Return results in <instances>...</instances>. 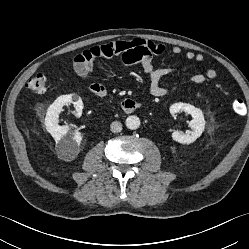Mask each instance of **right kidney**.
Returning <instances> with one entry per match:
<instances>
[{
  "instance_id": "1",
  "label": "right kidney",
  "mask_w": 249,
  "mask_h": 249,
  "mask_svg": "<svg viewBox=\"0 0 249 249\" xmlns=\"http://www.w3.org/2000/svg\"><path fill=\"white\" fill-rule=\"evenodd\" d=\"M72 103L76 109V116L80 117L83 110V102L76 94L59 96L47 109L45 117L46 130L52 135L57 143V153L64 160L71 161L79 153L82 135L73 127L60 126L59 114L64 105Z\"/></svg>"
}]
</instances>
